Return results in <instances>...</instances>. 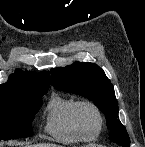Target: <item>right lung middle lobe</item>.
Returning <instances> with one entry per match:
<instances>
[{"label":"right lung middle lobe","mask_w":145,"mask_h":147,"mask_svg":"<svg viewBox=\"0 0 145 147\" xmlns=\"http://www.w3.org/2000/svg\"><path fill=\"white\" fill-rule=\"evenodd\" d=\"M47 91L36 88L0 94V140L33 135L32 121Z\"/></svg>","instance_id":"obj_1"}]
</instances>
